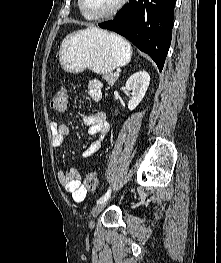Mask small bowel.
<instances>
[{"label":"small bowel","instance_id":"1","mask_svg":"<svg viewBox=\"0 0 221 263\" xmlns=\"http://www.w3.org/2000/svg\"><path fill=\"white\" fill-rule=\"evenodd\" d=\"M103 85L98 80H92L88 83L87 93L89 97L98 102L102 99ZM84 122L88 126V134L97 136V139L92 141L83 151V156L88 157L94 154L100 148L101 140L109 132V124L106 120V115L102 112H97L84 117ZM52 144L54 147L61 146L66 138L70 136V129L65 124L52 123ZM60 184L71 194L74 202H82L86 196V189L81 184V175L78 169L71 168L68 172L60 170L58 172Z\"/></svg>","mask_w":221,"mask_h":263}]
</instances>
